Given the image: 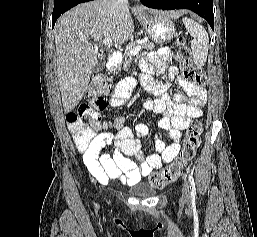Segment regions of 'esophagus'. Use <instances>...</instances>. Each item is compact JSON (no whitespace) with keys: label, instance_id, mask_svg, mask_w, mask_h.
Listing matches in <instances>:
<instances>
[{"label":"esophagus","instance_id":"34e87169","mask_svg":"<svg viewBox=\"0 0 257 237\" xmlns=\"http://www.w3.org/2000/svg\"><path fill=\"white\" fill-rule=\"evenodd\" d=\"M134 10L137 11V12L143 11L142 7H141V6H138V5L135 6Z\"/></svg>","mask_w":257,"mask_h":237}]
</instances>
